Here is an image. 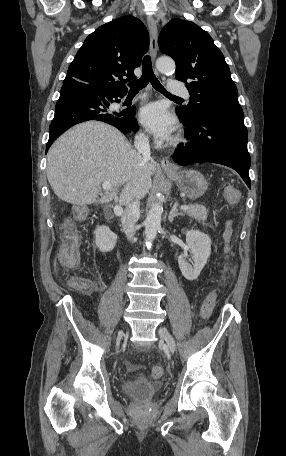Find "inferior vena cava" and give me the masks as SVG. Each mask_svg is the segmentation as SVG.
I'll use <instances>...</instances> for the list:
<instances>
[{
    "mask_svg": "<svg viewBox=\"0 0 286 456\" xmlns=\"http://www.w3.org/2000/svg\"><path fill=\"white\" fill-rule=\"evenodd\" d=\"M134 146L142 155L143 161L147 162L150 159V145L148 137L144 134L136 135ZM139 206L140 201L139 198L136 197L126 205L123 215L121 216L122 229L130 241L134 239L135 224L140 215Z\"/></svg>",
    "mask_w": 286,
    "mask_h": 456,
    "instance_id": "inferior-vena-cava-1",
    "label": "inferior vena cava"
}]
</instances>
